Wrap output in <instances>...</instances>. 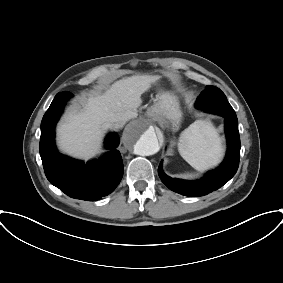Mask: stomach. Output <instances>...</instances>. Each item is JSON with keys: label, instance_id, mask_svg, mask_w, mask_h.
Instances as JSON below:
<instances>
[{"label": "stomach", "instance_id": "1", "mask_svg": "<svg viewBox=\"0 0 283 283\" xmlns=\"http://www.w3.org/2000/svg\"><path fill=\"white\" fill-rule=\"evenodd\" d=\"M150 112L153 117L168 119L173 127H178L182 117L179 102L177 98L170 93L158 95Z\"/></svg>", "mask_w": 283, "mask_h": 283}]
</instances>
